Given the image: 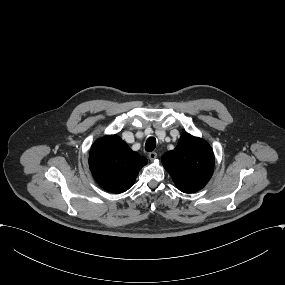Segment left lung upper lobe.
<instances>
[{"mask_svg":"<svg viewBox=\"0 0 285 285\" xmlns=\"http://www.w3.org/2000/svg\"><path fill=\"white\" fill-rule=\"evenodd\" d=\"M162 163L176 186L191 193L203 188L211 178L214 154L206 141L183 134L177 147L162 156Z\"/></svg>","mask_w":285,"mask_h":285,"instance_id":"left-lung-upper-lobe-1","label":"left lung upper lobe"}]
</instances>
